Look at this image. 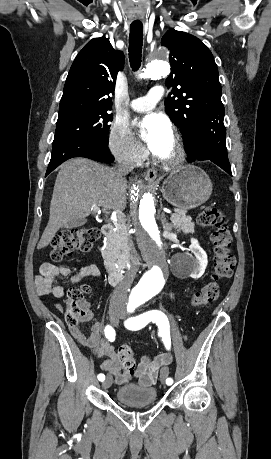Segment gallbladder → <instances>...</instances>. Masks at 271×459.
Returning <instances> with one entry per match:
<instances>
[{
    "label": "gallbladder",
    "instance_id": "bac80fb5",
    "mask_svg": "<svg viewBox=\"0 0 271 459\" xmlns=\"http://www.w3.org/2000/svg\"><path fill=\"white\" fill-rule=\"evenodd\" d=\"M85 222L86 220H84V218H74V220H70V222H67L66 226H62V228H79V226H83Z\"/></svg>",
    "mask_w": 271,
    "mask_h": 459
}]
</instances>
